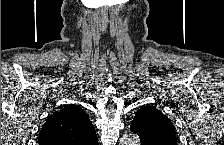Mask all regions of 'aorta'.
<instances>
[{
    "instance_id": "obj_1",
    "label": "aorta",
    "mask_w": 224,
    "mask_h": 145,
    "mask_svg": "<svg viewBox=\"0 0 224 145\" xmlns=\"http://www.w3.org/2000/svg\"><path fill=\"white\" fill-rule=\"evenodd\" d=\"M120 145H139V139L135 134L126 133L120 139Z\"/></svg>"
}]
</instances>
